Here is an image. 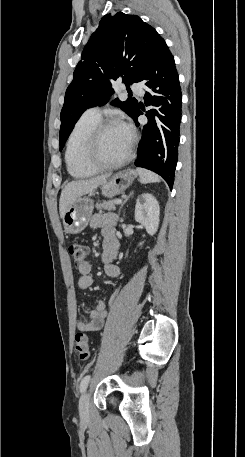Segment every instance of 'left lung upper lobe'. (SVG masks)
I'll list each match as a JSON object with an SVG mask.
<instances>
[{"instance_id":"1","label":"left lung upper lobe","mask_w":245,"mask_h":457,"mask_svg":"<svg viewBox=\"0 0 245 457\" xmlns=\"http://www.w3.org/2000/svg\"><path fill=\"white\" fill-rule=\"evenodd\" d=\"M163 40L157 31L137 15L107 14L82 52L73 81L68 86L61 111L60 150L85 109L106 104L114 93L113 84L121 80L138 82L156 44ZM112 104L129 116L137 107L135 98Z\"/></svg>"}]
</instances>
